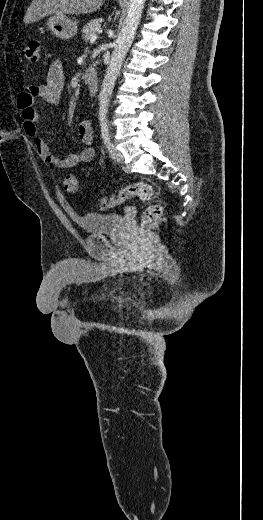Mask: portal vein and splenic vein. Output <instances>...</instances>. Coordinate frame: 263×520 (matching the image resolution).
<instances>
[{
  "label": "portal vein and splenic vein",
  "instance_id": "obj_1",
  "mask_svg": "<svg viewBox=\"0 0 263 520\" xmlns=\"http://www.w3.org/2000/svg\"><path fill=\"white\" fill-rule=\"evenodd\" d=\"M97 37H98V36H97L96 34H95V35H92L91 38H90V42H91V43H94V42L97 40Z\"/></svg>",
  "mask_w": 263,
  "mask_h": 520
}]
</instances>
